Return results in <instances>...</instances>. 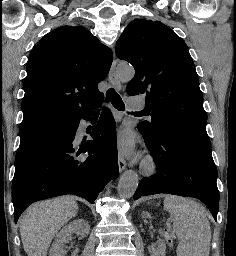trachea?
Listing matches in <instances>:
<instances>
[{
    "label": "trachea",
    "instance_id": "3493384b",
    "mask_svg": "<svg viewBox=\"0 0 236 256\" xmlns=\"http://www.w3.org/2000/svg\"><path fill=\"white\" fill-rule=\"evenodd\" d=\"M106 98H107V101H111L114 108H116L117 110H120V111H124V109H125L124 103H123L120 95H118V93L113 88H110L107 91ZM96 113H99V111H97Z\"/></svg>",
    "mask_w": 236,
    "mask_h": 256
}]
</instances>
